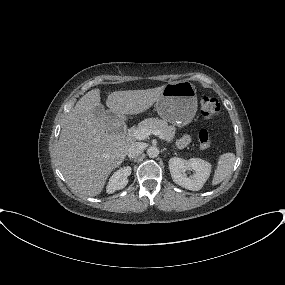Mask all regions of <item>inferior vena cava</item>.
Wrapping results in <instances>:
<instances>
[{
	"label": "inferior vena cava",
	"mask_w": 285,
	"mask_h": 285,
	"mask_svg": "<svg viewBox=\"0 0 285 285\" xmlns=\"http://www.w3.org/2000/svg\"><path fill=\"white\" fill-rule=\"evenodd\" d=\"M144 148H145V146L143 143L135 142V143L131 144V146L129 147L127 155L129 158H136L139 155H141Z\"/></svg>",
	"instance_id": "inferior-vena-cava-1"
}]
</instances>
